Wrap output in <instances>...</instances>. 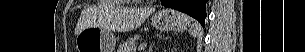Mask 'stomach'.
Returning <instances> with one entry per match:
<instances>
[{
  "label": "stomach",
  "instance_id": "1",
  "mask_svg": "<svg viewBox=\"0 0 305 52\" xmlns=\"http://www.w3.org/2000/svg\"><path fill=\"white\" fill-rule=\"evenodd\" d=\"M190 23V17L171 9L158 11L152 17V25L160 31H183ZM115 45L114 35L98 26L87 27L76 37L78 52H114Z\"/></svg>",
  "mask_w": 305,
  "mask_h": 52
}]
</instances>
